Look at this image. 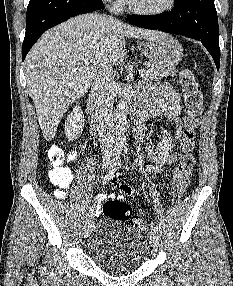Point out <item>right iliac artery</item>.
<instances>
[{
	"mask_svg": "<svg viewBox=\"0 0 233 286\" xmlns=\"http://www.w3.org/2000/svg\"><path fill=\"white\" fill-rule=\"evenodd\" d=\"M121 154H122V146H117L115 148V153H114V158L112 160L111 166L107 174L104 176L103 179V184H107L109 180L113 177L115 171L118 168V165L120 164L121 161ZM93 207L90 208L89 212L86 214L85 217V223L87 224L89 221H91L92 215H93Z\"/></svg>",
	"mask_w": 233,
	"mask_h": 286,
	"instance_id": "82829eb1",
	"label": "right iliac artery"
}]
</instances>
